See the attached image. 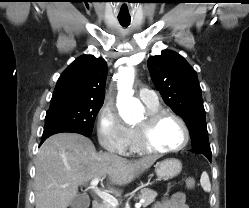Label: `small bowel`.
<instances>
[{
  "mask_svg": "<svg viewBox=\"0 0 249 208\" xmlns=\"http://www.w3.org/2000/svg\"><path fill=\"white\" fill-rule=\"evenodd\" d=\"M152 208H189L185 202V195L177 192L170 197L157 202Z\"/></svg>",
  "mask_w": 249,
  "mask_h": 208,
  "instance_id": "obj_1",
  "label": "small bowel"
}]
</instances>
